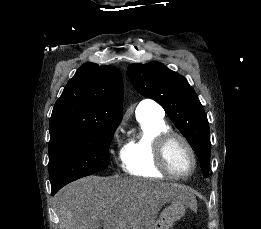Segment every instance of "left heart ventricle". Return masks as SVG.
<instances>
[{"label":"left heart ventricle","instance_id":"1","mask_svg":"<svg viewBox=\"0 0 261 229\" xmlns=\"http://www.w3.org/2000/svg\"><path fill=\"white\" fill-rule=\"evenodd\" d=\"M168 160L171 168L177 173L187 172L192 164L187 148L180 141H175L169 147Z\"/></svg>","mask_w":261,"mask_h":229}]
</instances>
